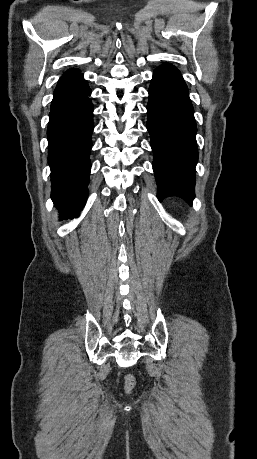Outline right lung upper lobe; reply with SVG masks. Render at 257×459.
Returning <instances> with one entry per match:
<instances>
[{
	"instance_id": "1",
	"label": "right lung upper lobe",
	"mask_w": 257,
	"mask_h": 459,
	"mask_svg": "<svg viewBox=\"0 0 257 459\" xmlns=\"http://www.w3.org/2000/svg\"><path fill=\"white\" fill-rule=\"evenodd\" d=\"M79 73L80 71L78 69H71L65 72L63 76H69V75H74V74H79Z\"/></svg>"
}]
</instances>
